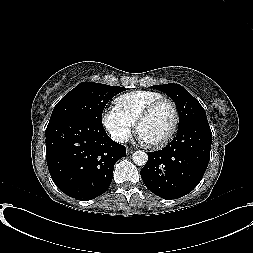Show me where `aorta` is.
Here are the masks:
<instances>
[{"label": "aorta", "mask_w": 253, "mask_h": 253, "mask_svg": "<svg viewBox=\"0 0 253 253\" xmlns=\"http://www.w3.org/2000/svg\"><path fill=\"white\" fill-rule=\"evenodd\" d=\"M133 162L138 166H144L147 163L148 155L144 151H135L132 155Z\"/></svg>", "instance_id": "obj_1"}]
</instances>
